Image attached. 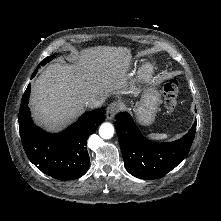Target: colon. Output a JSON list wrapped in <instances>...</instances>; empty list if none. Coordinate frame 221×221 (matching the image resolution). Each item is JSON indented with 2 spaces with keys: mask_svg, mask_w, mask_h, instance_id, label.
<instances>
[{
  "mask_svg": "<svg viewBox=\"0 0 221 221\" xmlns=\"http://www.w3.org/2000/svg\"><path fill=\"white\" fill-rule=\"evenodd\" d=\"M179 84L175 79L167 80L163 85L164 104L168 111H173L178 106Z\"/></svg>",
  "mask_w": 221,
  "mask_h": 221,
  "instance_id": "5ec220e1",
  "label": "colon"
}]
</instances>
